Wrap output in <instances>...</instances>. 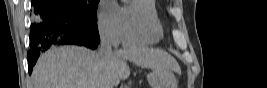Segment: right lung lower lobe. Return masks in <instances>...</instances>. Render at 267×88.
Masks as SVG:
<instances>
[{"instance_id":"98d812e1","label":"right lung lower lobe","mask_w":267,"mask_h":88,"mask_svg":"<svg viewBox=\"0 0 267 88\" xmlns=\"http://www.w3.org/2000/svg\"><path fill=\"white\" fill-rule=\"evenodd\" d=\"M32 4L35 15L27 54L30 74L40 52L52 45L76 44L91 49L98 46L97 23L82 19L54 0H32Z\"/></svg>"}]
</instances>
